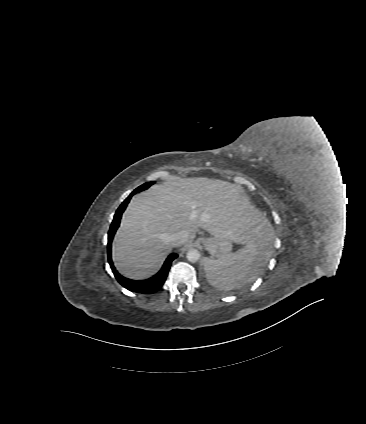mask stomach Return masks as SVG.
I'll return each mask as SVG.
<instances>
[{"label": "stomach", "instance_id": "stomach-1", "mask_svg": "<svg viewBox=\"0 0 366 424\" xmlns=\"http://www.w3.org/2000/svg\"><path fill=\"white\" fill-rule=\"evenodd\" d=\"M201 244L212 257L216 258L226 256L232 250V241L225 237L202 238Z\"/></svg>", "mask_w": 366, "mask_h": 424}]
</instances>
